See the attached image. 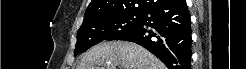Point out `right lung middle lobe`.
<instances>
[{
  "mask_svg": "<svg viewBox=\"0 0 246 69\" xmlns=\"http://www.w3.org/2000/svg\"><path fill=\"white\" fill-rule=\"evenodd\" d=\"M141 20L142 14H121L83 22L77 33L74 56L102 41L119 40L124 34L136 28Z\"/></svg>",
  "mask_w": 246,
  "mask_h": 69,
  "instance_id": "1",
  "label": "right lung middle lobe"
}]
</instances>
